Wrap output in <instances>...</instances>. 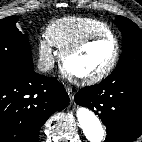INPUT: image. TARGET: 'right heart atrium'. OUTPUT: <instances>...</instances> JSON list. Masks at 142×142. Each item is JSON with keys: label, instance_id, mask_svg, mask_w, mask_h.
<instances>
[{"label": "right heart atrium", "instance_id": "obj_1", "mask_svg": "<svg viewBox=\"0 0 142 142\" xmlns=\"http://www.w3.org/2000/svg\"><path fill=\"white\" fill-rule=\"evenodd\" d=\"M37 47L39 57L43 66L46 68H50L53 65L55 59L53 45L46 37L39 39Z\"/></svg>", "mask_w": 142, "mask_h": 142}]
</instances>
